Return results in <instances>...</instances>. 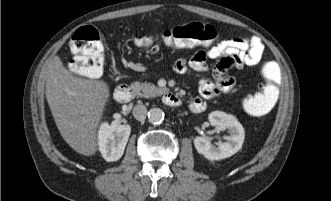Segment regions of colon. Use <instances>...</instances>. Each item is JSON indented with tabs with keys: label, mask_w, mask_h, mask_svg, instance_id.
Segmentation results:
<instances>
[{
	"label": "colon",
	"mask_w": 331,
	"mask_h": 201,
	"mask_svg": "<svg viewBox=\"0 0 331 201\" xmlns=\"http://www.w3.org/2000/svg\"><path fill=\"white\" fill-rule=\"evenodd\" d=\"M217 39V31L212 25L190 23L166 29L160 34H141L135 44L146 50H157L161 46L190 48L211 46ZM74 58L71 69L83 77H98L104 68V45L98 30L92 26L79 28L71 39ZM262 76L265 83L258 92L246 93L242 104L252 116H263L275 106L280 92L283 71L274 59H266L262 64Z\"/></svg>",
	"instance_id": "obj_1"
}]
</instances>
